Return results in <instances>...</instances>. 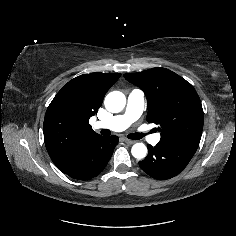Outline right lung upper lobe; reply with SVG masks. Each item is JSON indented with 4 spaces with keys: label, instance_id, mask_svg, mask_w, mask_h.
Segmentation results:
<instances>
[{
    "label": "right lung upper lobe",
    "instance_id": "cb5924a9",
    "mask_svg": "<svg viewBox=\"0 0 236 236\" xmlns=\"http://www.w3.org/2000/svg\"><path fill=\"white\" fill-rule=\"evenodd\" d=\"M120 75H80L64 85L48 106L43 124L44 140L58 169L101 136L93 131L89 118L100 108L106 92Z\"/></svg>",
    "mask_w": 236,
    "mask_h": 236
}]
</instances>
